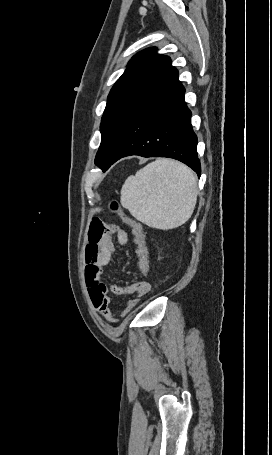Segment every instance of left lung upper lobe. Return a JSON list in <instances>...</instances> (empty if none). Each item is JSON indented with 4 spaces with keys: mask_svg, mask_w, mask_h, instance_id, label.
<instances>
[{
    "mask_svg": "<svg viewBox=\"0 0 272 455\" xmlns=\"http://www.w3.org/2000/svg\"><path fill=\"white\" fill-rule=\"evenodd\" d=\"M177 76L170 58L157 54L156 48L145 49L132 57L109 93L100 124L101 144L96 165L100 167L130 120Z\"/></svg>",
    "mask_w": 272,
    "mask_h": 455,
    "instance_id": "5c2ea615",
    "label": "left lung upper lobe"
}]
</instances>
